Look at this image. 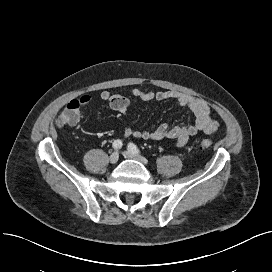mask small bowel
I'll return each instance as SVG.
<instances>
[{
    "label": "small bowel",
    "mask_w": 272,
    "mask_h": 272,
    "mask_svg": "<svg viewBox=\"0 0 272 272\" xmlns=\"http://www.w3.org/2000/svg\"><path fill=\"white\" fill-rule=\"evenodd\" d=\"M131 94L142 101H165L174 100L179 106L191 111L195 115L194 123L170 126L162 124L154 130H140L132 127H127L124 130L125 137H136L144 140H171L178 147L185 146L198 133L203 132L212 134L217 131L219 124L212 117L209 104L199 98L192 97L188 94L177 91H141L133 89ZM101 101L107 102L111 110L125 114L130 106L128 98L113 94L107 89H103L99 93ZM93 101L91 95H84L79 100L70 101L61 117L67 126H77L83 117V108Z\"/></svg>",
    "instance_id": "obj_1"
}]
</instances>
